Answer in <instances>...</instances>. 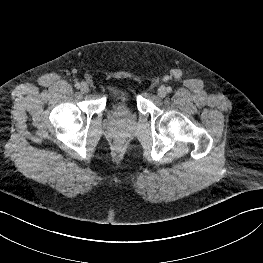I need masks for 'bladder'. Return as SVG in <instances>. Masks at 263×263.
Listing matches in <instances>:
<instances>
[{
	"instance_id": "1",
	"label": "bladder",
	"mask_w": 263,
	"mask_h": 263,
	"mask_svg": "<svg viewBox=\"0 0 263 263\" xmlns=\"http://www.w3.org/2000/svg\"><path fill=\"white\" fill-rule=\"evenodd\" d=\"M111 102L116 110L133 101L134 90L130 86H116L110 91Z\"/></svg>"
}]
</instances>
